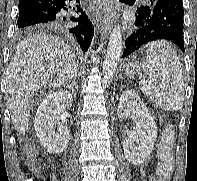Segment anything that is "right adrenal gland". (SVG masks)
I'll list each match as a JSON object with an SVG mask.
<instances>
[{"instance_id": "right-adrenal-gland-1", "label": "right adrenal gland", "mask_w": 197, "mask_h": 181, "mask_svg": "<svg viewBox=\"0 0 197 181\" xmlns=\"http://www.w3.org/2000/svg\"><path fill=\"white\" fill-rule=\"evenodd\" d=\"M68 89L72 91L74 98H76V91H78V85L75 82V78L72 79L71 84L68 85Z\"/></svg>"}]
</instances>
